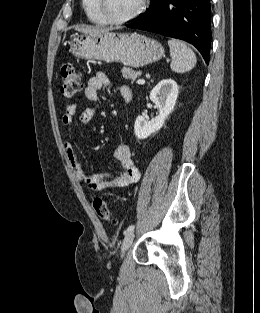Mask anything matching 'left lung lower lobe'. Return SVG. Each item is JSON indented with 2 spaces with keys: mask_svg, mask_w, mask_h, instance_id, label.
Here are the masks:
<instances>
[{
  "mask_svg": "<svg viewBox=\"0 0 260 313\" xmlns=\"http://www.w3.org/2000/svg\"><path fill=\"white\" fill-rule=\"evenodd\" d=\"M210 0H152L129 28L147 30L193 44L209 62Z\"/></svg>",
  "mask_w": 260,
  "mask_h": 313,
  "instance_id": "1",
  "label": "left lung lower lobe"
}]
</instances>
